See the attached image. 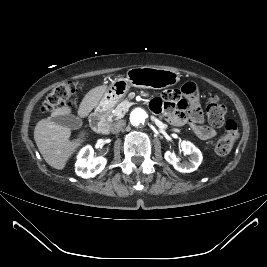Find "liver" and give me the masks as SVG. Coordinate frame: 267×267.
Returning <instances> with one entry per match:
<instances>
[{"instance_id": "obj_1", "label": "liver", "mask_w": 267, "mask_h": 267, "mask_svg": "<svg viewBox=\"0 0 267 267\" xmlns=\"http://www.w3.org/2000/svg\"><path fill=\"white\" fill-rule=\"evenodd\" d=\"M107 86L101 85L91 89L82 99L78 114L81 117L87 116L99 102L106 91ZM71 108L68 105L53 110L51 117L39 121L34 130L36 145L44 160L53 168L64 169L67 161L75 150L84 141L85 132H81L77 139L70 140L71 129L56 124L52 119L56 116L68 115Z\"/></svg>"}]
</instances>
